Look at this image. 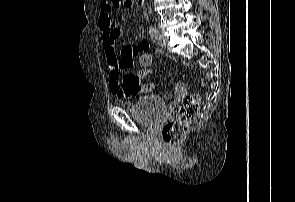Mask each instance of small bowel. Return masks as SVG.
<instances>
[{"label":"small bowel","mask_w":295,"mask_h":202,"mask_svg":"<svg viewBox=\"0 0 295 202\" xmlns=\"http://www.w3.org/2000/svg\"><path fill=\"white\" fill-rule=\"evenodd\" d=\"M114 7L109 0H101L98 21L101 33V45L107 55L110 91L120 97H132L141 93L151 92L152 90H133L131 92L122 90V82L120 80L121 72L129 69L133 65L135 58L138 62L140 52H147L149 42L142 41L136 43V46L123 45L119 49V52L116 51V42L122 36L123 29L111 16ZM134 75L138 79H143V81L149 76ZM181 98H188V93H181ZM172 107H177V102H172Z\"/></svg>","instance_id":"small-bowel-1"}]
</instances>
